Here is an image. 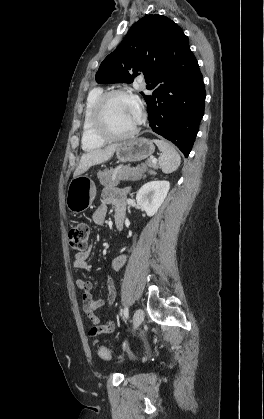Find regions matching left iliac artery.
<instances>
[{"label":"left iliac artery","instance_id":"left-iliac-artery-1","mask_svg":"<svg viewBox=\"0 0 264 419\" xmlns=\"http://www.w3.org/2000/svg\"><path fill=\"white\" fill-rule=\"evenodd\" d=\"M123 313H124V317H125V318H128V313H129V311H128V307H125V308H124Z\"/></svg>","mask_w":264,"mask_h":419}]
</instances>
